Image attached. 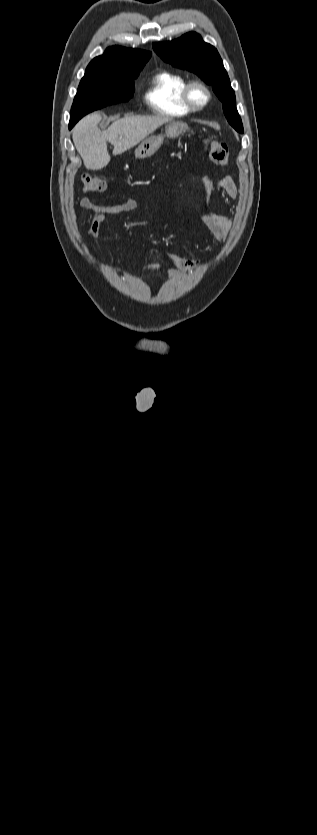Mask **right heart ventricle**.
<instances>
[{"mask_svg": "<svg viewBox=\"0 0 317 835\" xmlns=\"http://www.w3.org/2000/svg\"><path fill=\"white\" fill-rule=\"evenodd\" d=\"M187 79L178 73L162 70L149 81L144 99L150 108L163 116H182L192 112L185 104L182 93Z\"/></svg>", "mask_w": 317, "mask_h": 835, "instance_id": "1", "label": "right heart ventricle"}]
</instances>
